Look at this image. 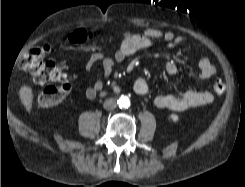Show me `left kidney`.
Wrapping results in <instances>:
<instances>
[{"instance_id":"5707ae66","label":"left kidney","mask_w":245,"mask_h":187,"mask_svg":"<svg viewBox=\"0 0 245 187\" xmlns=\"http://www.w3.org/2000/svg\"><path fill=\"white\" fill-rule=\"evenodd\" d=\"M169 118L173 121V122H177L178 121V115L177 114H170Z\"/></svg>"}]
</instances>
